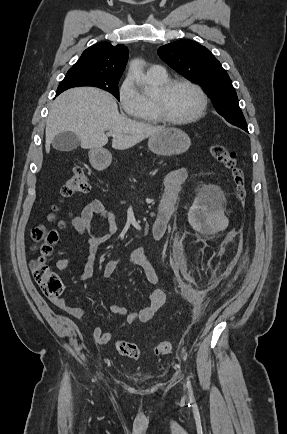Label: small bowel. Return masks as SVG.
<instances>
[{
  "mask_svg": "<svg viewBox=\"0 0 287 434\" xmlns=\"http://www.w3.org/2000/svg\"><path fill=\"white\" fill-rule=\"evenodd\" d=\"M186 179L187 171L185 168H177L171 171L165 178V191L157 206L156 219L152 231L153 238L156 241H161L165 236L169 221L175 212L178 196ZM95 215L99 216L104 222L105 230L102 235H95L92 231V220ZM69 224L79 235L85 238L89 248L87 262L83 271L78 276L80 281H86L94 273L95 259L99 246L108 241L118 231L116 213L112 209L106 208L101 200L94 199L84 207L79 215L70 219ZM129 259L132 264L142 270L149 283L157 284L159 282V275L143 248L133 249L129 253ZM120 262V258L109 259L103 269L104 277L112 279ZM67 267L68 260L66 259H58L55 262V268L58 271H64ZM166 299V292L158 289L149 295L147 305L138 313L127 314L125 307L115 302L110 303L109 309L113 314L125 315L122 322V327H125L136 322H148L152 320ZM52 301L74 318L80 319L85 315L83 308L70 306L63 298H52ZM92 334L99 344H106L112 338L111 332H105L99 327L94 328Z\"/></svg>",
  "mask_w": 287,
  "mask_h": 434,
  "instance_id": "1",
  "label": "small bowel"
}]
</instances>
